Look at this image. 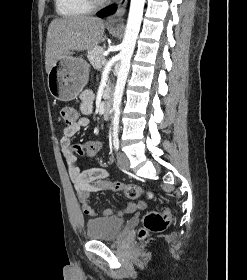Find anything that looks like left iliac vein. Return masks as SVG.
<instances>
[{
	"instance_id": "left-iliac-vein-1",
	"label": "left iliac vein",
	"mask_w": 247,
	"mask_h": 280,
	"mask_svg": "<svg viewBox=\"0 0 247 280\" xmlns=\"http://www.w3.org/2000/svg\"><path fill=\"white\" fill-rule=\"evenodd\" d=\"M117 160H118V164L120 166L121 169L123 170H129V159L126 156V154L124 153H118L117 155Z\"/></svg>"
}]
</instances>
